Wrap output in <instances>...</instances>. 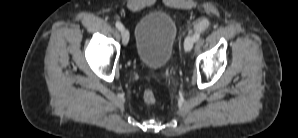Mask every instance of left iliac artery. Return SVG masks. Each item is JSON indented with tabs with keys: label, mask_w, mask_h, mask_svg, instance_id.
<instances>
[{
	"label": "left iliac artery",
	"mask_w": 298,
	"mask_h": 138,
	"mask_svg": "<svg viewBox=\"0 0 298 138\" xmlns=\"http://www.w3.org/2000/svg\"><path fill=\"white\" fill-rule=\"evenodd\" d=\"M193 37L195 40H198L200 38V32H196Z\"/></svg>",
	"instance_id": "44dca946"
}]
</instances>
